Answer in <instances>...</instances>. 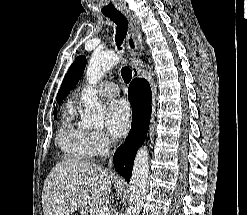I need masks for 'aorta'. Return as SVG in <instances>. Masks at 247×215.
<instances>
[{
  "label": "aorta",
  "mask_w": 247,
  "mask_h": 215,
  "mask_svg": "<svg viewBox=\"0 0 247 215\" xmlns=\"http://www.w3.org/2000/svg\"><path fill=\"white\" fill-rule=\"evenodd\" d=\"M119 62V57L113 52H94L86 70V86L82 90L81 99L85 110L82 123L87 128H101L104 124V109L98 100L96 85L104 74ZM149 175V153L142 146L134 160L130 180V207L126 215H139L147 191Z\"/></svg>",
  "instance_id": "762f6f07"
}]
</instances>
